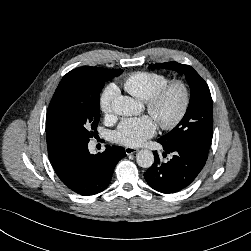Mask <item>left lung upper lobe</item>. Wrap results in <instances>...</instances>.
Segmentation results:
<instances>
[{
  "instance_id": "1",
  "label": "left lung upper lobe",
  "mask_w": 251,
  "mask_h": 251,
  "mask_svg": "<svg viewBox=\"0 0 251 251\" xmlns=\"http://www.w3.org/2000/svg\"><path fill=\"white\" fill-rule=\"evenodd\" d=\"M150 68L171 69L185 74L191 89L190 103L184 117L172 131L160 137L158 142L167 147L195 144L208 152L213 134V103L206 82L193 67L174 61L155 64Z\"/></svg>"
}]
</instances>
